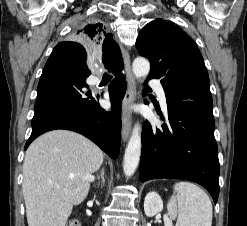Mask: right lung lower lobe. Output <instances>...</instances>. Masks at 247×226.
Instances as JSON below:
<instances>
[{"instance_id":"right-lung-lower-lobe-1","label":"right lung lower lobe","mask_w":247,"mask_h":226,"mask_svg":"<svg viewBox=\"0 0 247 226\" xmlns=\"http://www.w3.org/2000/svg\"><path fill=\"white\" fill-rule=\"evenodd\" d=\"M85 48L72 41L60 42L52 51L38 83V96L32 119V133L25 149L39 135L55 129L78 132L96 143L115 159L120 151V104L126 92L122 69L109 86L112 109L106 112L87 91L85 80L91 72L86 65Z\"/></svg>"}]
</instances>
